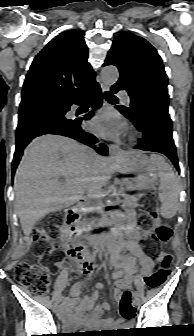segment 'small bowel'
<instances>
[{
  "label": "small bowel",
  "instance_id": "1",
  "mask_svg": "<svg viewBox=\"0 0 194 336\" xmlns=\"http://www.w3.org/2000/svg\"><path fill=\"white\" fill-rule=\"evenodd\" d=\"M126 213L125 239L111 251V263L114 269L112 278L116 286L114 295L117 300L122 298V289L129 287L134 282L141 283L139 276L150 275L154 268V260L144 253L139 244L141 231L134 222L133 211L129 210ZM124 249L128 251V254L123 253ZM137 260H139L141 265L140 270L136 267ZM76 264L79 272L83 275H88L92 271V266L89 263L81 262ZM56 266L60 267L61 264L57 263ZM82 285L83 283H76L71 287L70 296L65 299L61 310L63 321L69 325L90 327H96L99 323L106 326L114 325L112 319L100 318V314L103 311L110 310L109 303L104 302L101 305H95L99 298V290L103 288L102 285H96V289L91 295L79 301ZM122 323L125 326L131 324L129 320H123Z\"/></svg>",
  "mask_w": 194,
  "mask_h": 336
}]
</instances>
